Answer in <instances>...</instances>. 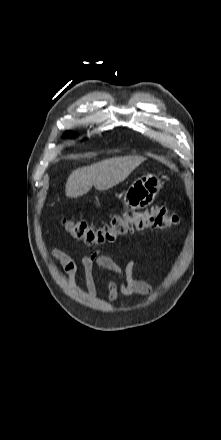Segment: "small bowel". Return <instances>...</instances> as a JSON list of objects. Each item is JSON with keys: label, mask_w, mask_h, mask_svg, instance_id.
<instances>
[{"label": "small bowel", "mask_w": 221, "mask_h": 440, "mask_svg": "<svg viewBox=\"0 0 221 440\" xmlns=\"http://www.w3.org/2000/svg\"><path fill=\"white\" fill-rule=\"evenodd\" d=\"M50 254L52 257L58 260L64 273L68 276L70 283H74L75 276L78 271V265L75 260L70 255L59 249L51 250ZM134 264L135 261L130 260L127 266L123 268L111 257L103 255L100 252H94L90 255L83 256L81 258V266L83 268L84 281L88 294L90 296H94L97 293V282L95 275L96 269H102L117 274L122 279L120 284H118L112 278L107 280V301L109 303L114 302L120 292L124 294L152 293V287L149 283L134 278L132 273Z\"/></svg>", "instance_id": "c3829d8e"}]
</instances>
